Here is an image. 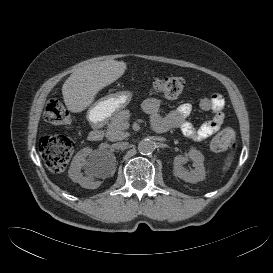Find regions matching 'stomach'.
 Returning a JSON list of instances; mask_svg holds the SVG:
<instances>
[{"label": "stomach", "instance_id": "obj_1", "mask_svg": "<svg viewBox=\"0 0 273 273\" xmlns=\"http://www.w3.org/2000/svg\"><path fill=\"white\" fill-rule=\"evenodd\" d=\"M131 99L132 93L130 91H118L109 94L90 106L87 118L94 124L107 121L124 109L130 103Z\"/></svg>", "mask_w": 273, "mask_h": 273}]
</instances>
